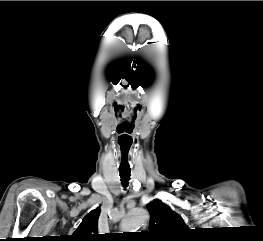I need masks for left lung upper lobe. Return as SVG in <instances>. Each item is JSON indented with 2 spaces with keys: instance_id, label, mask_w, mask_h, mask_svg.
I'll return each instance as SVG.
<instances>
[{
  "instance_id": "5c2ea615",
  "label": "left lung upper lobe",
  "mask_w": 263,
  "mask_h": 241,
  "mask_svg": "<svg viewBox=\"0 0 263 241\" xmlns=\"http://www.w3.org/2000/svg\"><path fill=\"white\" fill-rule=\"evenodd\" d=\"M150 212L149 231L157 241H184L189 228L180 215L162 201L155 199L147 204Z\"/></svg>"
}]
</instances>
